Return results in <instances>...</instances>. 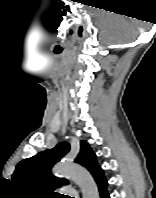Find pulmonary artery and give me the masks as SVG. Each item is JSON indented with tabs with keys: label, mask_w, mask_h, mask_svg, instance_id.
Masks as SVG:
<instances>
[{
	"label": "pulmonary artery",
	"mask_w": 156,
	"mask_h": 198,
	"mask_svg": "<svg viewBox=\"0 0 156 198\" xmlns=\"http://www.w3.org/2000/svg\"><path fill=\"white\" fill-rule=\"evenodd\" d=\"M63 190H73V188H72V187L67 186V187H64V188H63Z\"/></svg>",
	"instance_id": "pulmonary-artery-1"
}]
</instances>
